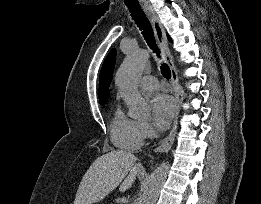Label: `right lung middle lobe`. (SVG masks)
Here are the masks:
<instances>
[{
    "label": "right lung middle lobe",
    "instance_id": "dd1d6c3e",
    "mask_svg": "<svg viewBox=\"0 0 261 204\" xmlns=\"http://www.w3.org/2000/svg\"><path fill=\"white\" fill-rule=\"evenodd\" d=\"M100 104H105V102H100Z\"/></svg>",
    "mask_w": 261,
    "mask_h": 204
}]
</instances>
